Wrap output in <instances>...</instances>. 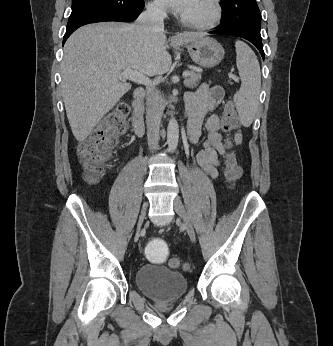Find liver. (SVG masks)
Listing matches in <instances>:
<instances>
[{
    "instance_id": "6515ba94",
    "label": "liver",
    "mask_w": 333,
    "mask_h": 346,
    "mask_svg": "<svg viewBox=\"0 0 333 346\" xmlns=\"http://www.w3.org/2000/svg\"><path fill=\"white\" fill-rule=\"evenodd\" d=\"M204 35L148 32L135 24L97 23L77 29L66 41L61 90L72 133L84 141L99 121L131 89L120 77L126 69L145 76L163 75L172 59L167 43L179 47Z\"/></svg>"
}]
</instances>
